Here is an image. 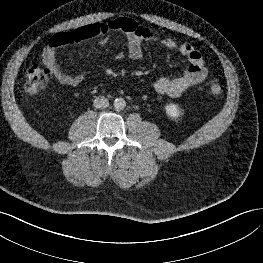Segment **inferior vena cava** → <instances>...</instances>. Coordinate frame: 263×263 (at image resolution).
Here are the masks:
<instances>
[{"label":"inferior vena cava","mask_w":263,"mask_h":263,"mask_svg":"<svg viewBox=\"0 0 263 263\" xmlns=\"http://www.w3.org/2000/svg\"><path fill=\"white\" fill-rule=\"evenodd\" d=\"M93 105L95 108L97 109H102V108H106L109 105V101L106 97L104 96H98L94 99L93 101Z\"/></svg>","instance_id":"obj_1"}]
</instances>
